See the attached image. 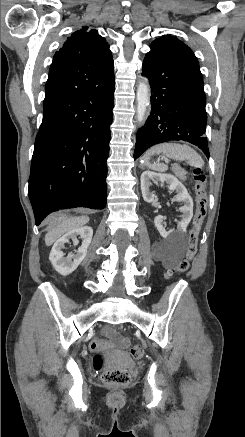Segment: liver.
Instances as JSON below:
<instances>
[{
  "mask_svg": "<svg viewBox=\"0 0 245 437\" xmlns=\"http://www.w3.org/2000/svg\"><path fill=\"white\" fill-rule=\"evenodd\" d=\"M57 224L49 229L45 236V244L47 246L52 245L59 237L64 233H67L73 229L80 228L84 226L89 221L88 216H79L67 218L61 215L59 218L55 219Z\"/></svg>",
  "mask_w": 245,
  "mask_h": 437,
  "instance_id": "liver-1",
  "label": "liver"
}]
</instances>
